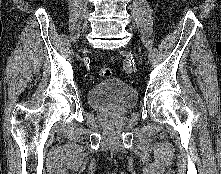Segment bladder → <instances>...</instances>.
Instances as JSON below:
<instances>
[{
    "label": "bladder",
    "mask_w": 221,
    "mask_h": 174,
    "mask_svg": "<svg viewBox=\"0 0 221 174\" xmlns=\"http://www.w3.org/2000/svg\"><path fill=\"white\" fill-rule=\"evenodd\" d=\"M88 102L95 109L127 110L135 106L137 92L125 81L108 77L90 88Z\"/></svg>",
    "instance_id": "bladder-1"
}]
</instances>
